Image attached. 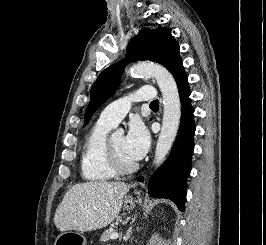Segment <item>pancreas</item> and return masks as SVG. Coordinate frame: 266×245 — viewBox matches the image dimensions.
I'll use <instances>...</instances> for the list:
<instances>
[{"instance_id": "pancreas-1", "label": "pancreas", "mask_w": 266, "mask_h": 245, "mask_svg": "<svg viewBox=\"0 0 266 245\" xmlns=\"http://www.w3.org/2000/svg\"><path fill=\"white\" fill-rule=\"evenodd\" d=\"M112 233H116L114 229H108V231H104L103 235H101L100 241H103V243H107V241H111L110 237Z\"/></svg>"}]
</instances>
